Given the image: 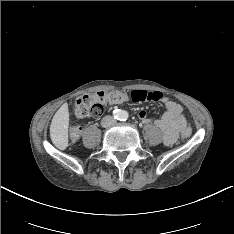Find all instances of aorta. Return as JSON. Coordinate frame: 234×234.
Wrapping results in <instances>:
<instances>
[{
    "label": "aorta",
    "mask_w": 234,
    "mask_h": 234,
    "mask_svg": "<svg viewBox=\"0 0 234 234\" xmlns=\"http://www.w3.org/2000/svg\"><path fill=\"white\" fill-rule=\"evenodd\" d=\"M118 119L126 120L128 118V112L125 110H120L117 114Z\"/></svg>",
    "instance_id": "762f6f07"
}]
</instances>
